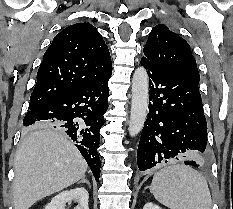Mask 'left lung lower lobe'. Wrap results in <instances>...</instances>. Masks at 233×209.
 I'll list each match as a JSON object with an SVG mask.
<instances>
[{
    "label": "left lung lower lobe",
    "instance_id": "1",
    "mask_svg": "<svg viewBox=\"0 0 233 209\" xmlns=\"http://www.w3.org/2000/svg\"><path fill=\"white\" fill-rule=\"evenodd\" d=\"M149 76V115L140 138L137 163L140 171L173 159H183L190 150L204 152L207 122L198 82L164 68L145 57L141 59ZM186 165L200 166L198 159Z\"/></svg>",
    "mask_w": 233,
    "mask_h": 209
}]
</instances>
